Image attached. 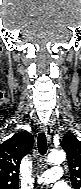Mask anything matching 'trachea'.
I'll use <instances>...</instances> for the list:
<instances>
[{
    "label": "trachea",
    "mask_w": 81,
    "mask_h": 189,
    "mask_svg": "<svg viewBox=\"0 0 81 189\" xmlns=\"http://www.w3.org/2000/svg\"><path fill=\"white\" fill-rule=\"evenodd\" d=\"M37 146L41 155H44L47 152V140L44 132L38 134Z\"/></svg>",
    "instance_id": "obj_1"
}]
</instances>
